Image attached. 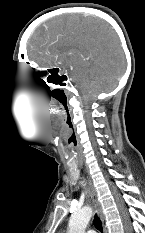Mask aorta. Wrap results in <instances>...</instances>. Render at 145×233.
Masks as SVG:
<instances>
[{
  "mask_svg": "<svg viewBox=\"0 0 145 233\" xmlns=\"http://www.w3.org/2000/svg\"><path fill=\"white\" fill-rule=\"evenodd\" d=\"M92 209L85 206L74 212L69 220L68 233H85L86 227L91 219Z\"/></svg>",
  "mask_w": 145,
  "mask_h": 233,
  "instance_id": "762f6f07",
  "label": "aorta"
}]
</instances>
